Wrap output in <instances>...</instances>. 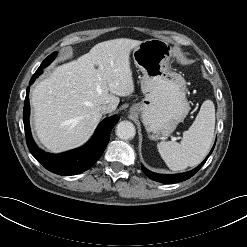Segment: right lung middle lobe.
Segmentation results:
<instances>
[{
    "instance_id": "right-lung-middle-lobe-1",
    "label": "right lung middle lobe",
    "mask_w": 247,
    "mask_h": 247,
    "mask_svg": "<svg viewBox=\"0 0 247 247\" xmlns=\"http://www.w3.org/2000/svg\"><path fill=\"white\" fill-rule=\"evenodd\" d=\"M55 56H56V52L52 53L46 59H44L41 66L36 70L34 75L38 77L42 73V69L48 66L54 60Z\"/></svg>"
}]
</instances>
